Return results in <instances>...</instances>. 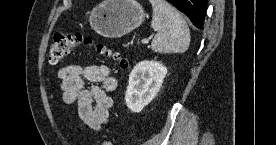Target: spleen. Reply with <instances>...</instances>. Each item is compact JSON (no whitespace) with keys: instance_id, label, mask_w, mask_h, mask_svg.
<instances>
[{"instance_id":"obj_1","label":"spleen","mask_w":276,"mask_h":145,"mask_svg":"<svg viewBox=\"0 0 276 145\" xmlns=\"http://www.w3.org/2000/svg\"><path fill=\"white\" fill-rule=\"evenodd\" d=\"M151 27L157 30L151 48L159 53H184L190 44V31L180 13L165 0H151Z\"/></svg>"}]
</instances>
